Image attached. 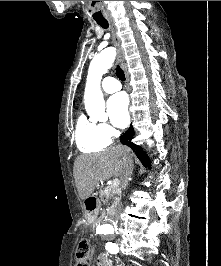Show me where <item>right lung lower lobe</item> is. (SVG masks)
<instances>
[{
	"label": "right lung lower lobe",
	"instance_id": "obj_1",
	"mask_svg": "<svg viewBox=\"0 0 221 266\" xmlns=\"http://www.w3.org/2000/svg\"><path fill=\"white\" fill-rule=\"evenodd\" d=\"M133 132V127L130 126L129 130L120 137V141L122 144L129 146L135 152V154L145 167H150V161L146 153L142 151V148L140 146L131 142L133 138Z\"/></svg>",
	"mask_w": 221,
	"mask_h": 266
}]
</instances>
